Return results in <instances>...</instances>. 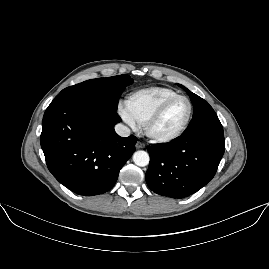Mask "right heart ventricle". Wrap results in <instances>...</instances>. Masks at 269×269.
<instances>
[{"mask_svg":"<svg viewBox=\"0 0 269 269\" xmlns=\"http://www.w3.org/2000/svg\"><path fill=\"white\" fill-rule=\"evenodd\" d=\"M176 95H178L176 91L165 87L141 89L127 98V111L138 125L143 126L161 103Z\"/></svg>","mask_w":269,"mask_h":269,"instance_id":"obj_1","label":"right heart ventricle"}]
</instances>
